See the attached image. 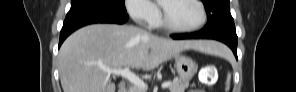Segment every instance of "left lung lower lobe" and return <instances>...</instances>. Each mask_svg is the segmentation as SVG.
Segmentation results:
<instances>
[{
	"label": "left lung lower lobe",
	"mask_w": 296,
	"mask_h": 92,
	"mask_svg": "<svg viewBox=\"0 0 296 92\" xmlns=\"http://www.w3.org/2000/svg\"><path fill=\"white\" fill-rule=\"evenodd\" d=\"M173 39H214L228 45L237 58V35L235 31H222L214 34H206L202 30L195 33L173 34Z\"/></svg>",
	"instance_id": "1"
}]
</instances>
